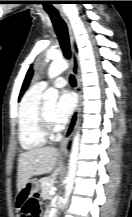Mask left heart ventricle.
Segmentation results:
<instances>
[{
    "mask_svg": "<svg viewBox=\"0 0 132 217\" xmlns=\"http://www.w3.org/2000/svg\"><path fill=\"white\" fill-rule=\"evenodd\" d=\"M44 106H45L46 113L48 114L49 117L52 118V115H53V112L55 109V104L54 103H46Z\"/></svg>",
    "mask_w": 132,
    "mask_h": 217,
    "instance_id": "left-heart-ventricle-1",
    "label": "left heart ventricle"
}]
</instances>
